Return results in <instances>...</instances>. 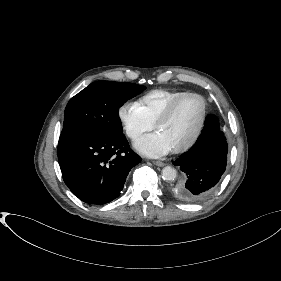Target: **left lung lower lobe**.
<instances>
[{
    "label": "left lung lower lobe",
    "mask_w": 281,
    "mask_h": 281,
    "mask_svg": "<svg viewBox=\"0 0 281 281\" xmlns=\"http://www.w3.org/2000/svg\"><path fill=\"white\" fill-rule=\"evenodd\" d=\"M227 153L228 145L219 130L218 119L210 114L196 143L173 162L185 173L177 185L176 195L188 203L210 197L225 171Z\"/></svg>",
    "instance_id": "0a47b994"
}]
</instances>
